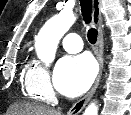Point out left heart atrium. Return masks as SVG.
Listing matches in <instances>:
<instances>
[{
	"label": "left heart atrium",
	"mask_w": 131,
	"mask_h": 115,
	"mask_svg": "<svg viewBox=\"0 0 131 115\" xmlns=\"http://www.w3.org/2000/svg\"><path fill=\"white\" fill-rule=\"evenodd\" d=\"M95 74L96 66L89 56H65L56 66L54 83L65 96L76 97L89 88Z\"/></svg>",
	"instance_id": "39dd6f15"
}]
</instances>
